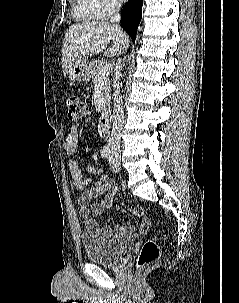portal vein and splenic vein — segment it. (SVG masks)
Segmentation results:
<instances>
[{
	"mask_svg": "<svg viewBox=\"0 0 239 303\" xmlns=\"http://www.w3.org/2000/svg\"><path fill=\"white\" fill-rule=\"evenodd\" d=\"M109 72H110L109 65H104L98 73V80L100 81L105 79L109 75Z\"/></svg>",
	"mask_w": 239,
	"mask_h": 303,
	"instance_id": "portal-vein-and-splenic-vein-1",
	"label": "portal vein and splenic vein"
}]
</instances>
